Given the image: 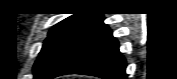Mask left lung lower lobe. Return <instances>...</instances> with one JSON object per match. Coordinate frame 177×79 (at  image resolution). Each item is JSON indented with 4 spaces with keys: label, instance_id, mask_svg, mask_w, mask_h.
Wrapping results in <instances>:
<instances>
[{
    "label": "left lung lower lobe",
    "instance_id": "0a47b994",
    "mask_svg": "<svg viewBox=\"0 0 177 79\" xmlns=\"http://www.w3.org/2000/svg\"><path fill=\"white\" fill-rule=\"evenodd\" d=\"M126 61L118 41L102 22L77 42L49 79L65 74H84L104 79H126Z\"/></svg>",
    "mask_w": 177,
    "mask_h": 79
}]
</instances>
